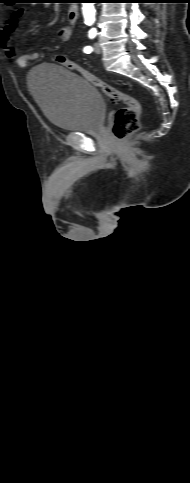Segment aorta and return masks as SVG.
<instances>
[{"instance_id": "1", "label": "aorta", "mask_w": 190, "mask_h": 483, "mask_svg": "<svg viewBox=\"0 0 190 483\" xmlns=\"http://www.w3.org/2000/svg\"><path fill=\"white\" fill-rule=\"evenodd\" d=\"M82 12L86 21H93L95 19L94 3H82Z\"/></svg>"}]
</instances>
